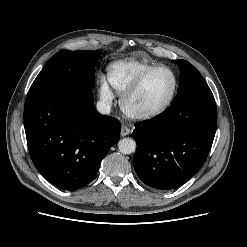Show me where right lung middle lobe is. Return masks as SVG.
Instances as JSON below:
<instances>
[{
	"instance_id": "dd1d6c3e",
	"label": "right lung middle lobe",
	"mask_w": 247,
	"mask_h": 247,
	"mask_svg": "<svg viewBox=\"0 0 247 247\" xmlns=\"http://www.w3.org/2000/svg\"><path fill=\"white\" fill-rule=\"evenodd\" d=\"M99 54L100 52L88 50L59 51L38 74L29 93L52 87H93Z\"/></svg>"
}]
</instances>
